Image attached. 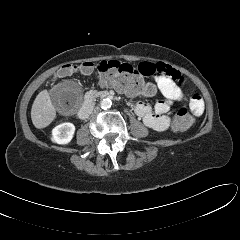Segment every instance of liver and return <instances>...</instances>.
<instances>
[{
  "label": "liver",
  "instance_id": "6515ba94",
  "mask_svg": "<svg viewBox=\"0 0 240 240\" xmlns=\"http://www.w3.org/2000/svg\"><path fill=\"white\" fill-rule=\"evenodd\" d=\"M56 117L54 108L47 90L41 91L35 98L32 109L31 119L37 129L47 127Z\"/></svg>",
  "mask_w": 240,
  "mask_h": 240
}]
</instances>
